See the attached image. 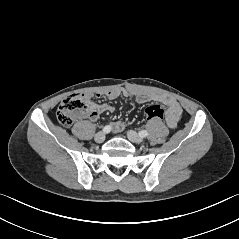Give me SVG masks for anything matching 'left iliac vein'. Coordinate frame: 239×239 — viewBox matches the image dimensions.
Masks as SVG:
<instances>
[{"label":"left iliac vein","mask_w":239,"mask_h":239,"mask_svg":"<svg viewBox=\"0 0 239 239\" xmlns=\"http://www.w3.org/2000/svg\"><path fill=\"white\" fill-rule=\"evenodd\" d=\"M127 138L132 142V143H141L143 139L133 130H129L127 132Z\"/></svg>","instance_id":"obj_1"}]
</instances>
